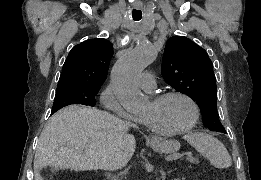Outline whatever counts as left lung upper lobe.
Wrapping results in <instances>:
<instances>
[{
  "mask_svg": "<svg viewBox=\"0 0 261 180\" xmlns=\"http://www.w3.org/2000/svg\"><path fill=\"white\" fill-rule=\"evenodd\" d=\"M161 72L170 86L197 103L203 124L209 130L225 132L217 114L213 65L203 48L183 36L170 38L165 46Z\"/></svg>",
  "mask_w": 261,
  "mask_h": 180,
  "instance_id": "5c2ea615",
  "label": "left lung upper lobe"
}]
</instances>
